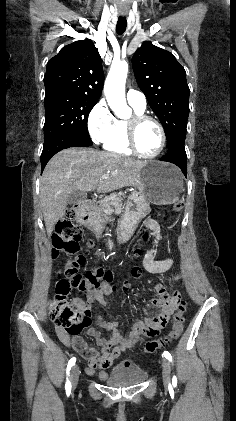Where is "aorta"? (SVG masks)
<instances>
[{"mask_svg":"<svg viewBox=\"0 0 236 421\" xmlns=\"http://www.w3.org/2000/svg\"><path fill=\"white\" fill-rule=\"evenodd\" d=\"M128 74V62H120L118 66H111L104 84L107 102L119 114V106L126 104L124 86Z\"/></svg>","mask_w":236,"mask_h":421,"instance_id":"aorta-1","label":"aorta"}]
</instances>
